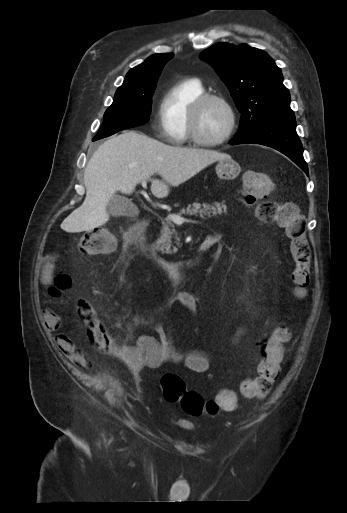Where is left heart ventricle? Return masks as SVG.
<instances>
[{
  "label": "left heart ventricle",
  "instance_id": "left-heart-ventricle-1",
  "mask_svg": "<svg viewBox=\"0 0 347 513\" xmlns=\"http://www.w3.org/2000/svg\"><path fill=\"white\" fill-rule=\"evenodd\" d=\"M229 124V114L226 108L216 102H208L201 110L198 129L201 137L216 140L224 135Z\"/></svg>",
  "mask_w": 347,
  "mask_h": 513
}]
</instances>
